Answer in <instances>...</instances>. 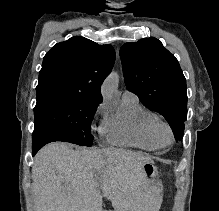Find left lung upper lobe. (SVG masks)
<instances>
[{
	"label": "left lung upper lobe",
	"mask_w": 219,
	"mask_h": 211,
	"mask_svg": "<svg viewBox=\"0 0 219 211\" xmlns=\"http://www.w3.org/2000/svg\"><path fill=\"white\" fill-rule=\"evenodd\" d=\"M127 89L165 117L181 140L187 118L186 79L177 59L156 38L125 43L120 49Z\"/></svg>",
	"instance_id": "1"
}]
</instances>
